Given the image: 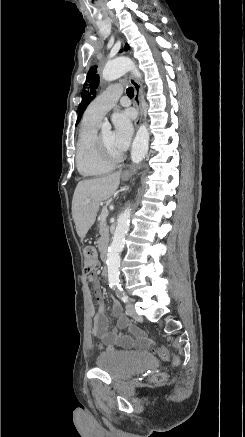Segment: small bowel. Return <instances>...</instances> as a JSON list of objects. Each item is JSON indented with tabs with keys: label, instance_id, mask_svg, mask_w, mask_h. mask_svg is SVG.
<instances>
[{
	"label": "small bowel",
	"instance_id": "small-bowel-1",
	"mask_svg": "<svg viewBox=\"0 0 245 437\" xmlns=\"http://www.w3.org/2000/svg\"><path fill=\"white\" fill-rule=\"evenodd\" d=\"M87 281L93 284L94 295L97 301V311L93 316L92 332L96 337L107 343L125 348L145 349L149 340L141 332L130 325L129 319L123 314L121 305L113 300L112 313L118 317L116 327H111L107 317V306L104 301V292L96 275H88ZM127 329L128 332H122Z\"/></svg>",
	"mask_w": 245,
	"mask_h": 437
}]
</instances>
